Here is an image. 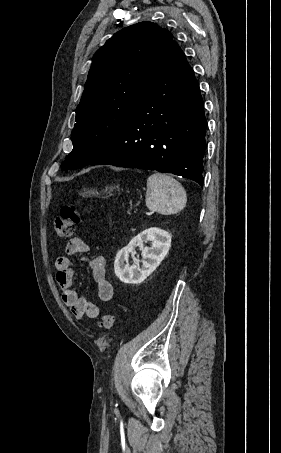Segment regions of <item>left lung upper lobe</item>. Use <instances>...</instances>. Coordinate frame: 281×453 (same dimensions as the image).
<instances>
[{
    "mask_svg": "<svg viewBox=\"0 0 281 453\" xmlns=\"http://www.w3.org/2000/svg\"><path fill=\"white\" fill-rule=\"evenodd\" d=\"M173 35L152 22L117 32L94 55L76 123L73 150L61 168L79 169L94 161L135 111L167 61Z\"/></svg>",
    "mask_w": 281,
    "mask_h": 453,
    "instance_id": "left-lung-upper-lobe-1",
    "label": "left lung upper lobe"
}]
</instances>
